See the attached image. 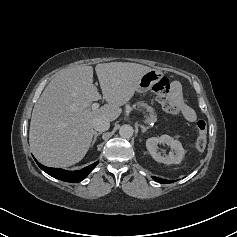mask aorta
Wrapping results in <instances>:
<instances>
[{
  "label": "aorta",
  "instance_id": "1",
  "mask_svg": "<svg viewBox=\"0 0 237 237\" xmlns=\"http://www.w3.org/2000/svg\"><path fill=\"white\" fill-rule=\"evenodd\" d=\"M134 129L131 125L124 124L119 129V134L122 138L129 139L133 136Z\"/></svg>",
  "mask_w": 237,
  "mask_h": 237
}]
</instances>
